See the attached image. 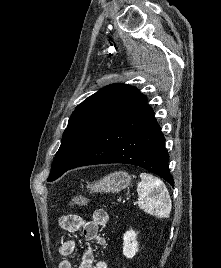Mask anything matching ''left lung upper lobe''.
<instances>
[{
	"label": "left lung upper lobe",
	"mask_w": 221,
	"mask_h": 268,
	"mask_svg": "<svg viewBox=\"0 0 221 268\" xmlns=\"http://www.w3.org/2000/svg\"><path fill=\"white\" fill-rule=\"evenodd\" d=\"M147 102L138 89L126 84L106 86L78 105L69 119L48 181L60 177L116 119Z\"/></svg>",
	"instance_id": "1"
}]
</instances>
